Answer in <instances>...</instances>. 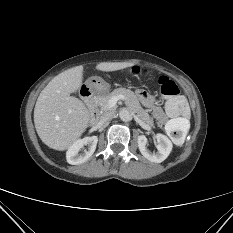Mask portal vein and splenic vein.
<instances>
[{
    "instance_id": "1",
    "label": "portal vein and splenic vein",
    "mask_w": 233,
    "mask_h": 233,
    "mask_svg": "<svg viewBox=\"0 0 233 233\" xmlns=\"http://www.w3.org/2000/svg\"><path fill=\"white\" fill-rule=\"evenodd\" d=\"M125 99L126 98L123 95L112 97L109 100V102H108V108L111 109V108L115 107V105L117 104L118 100H125Z\"/></svg>"
}]
</instances>
